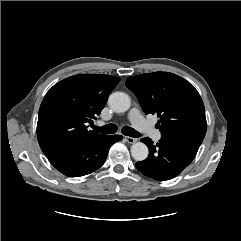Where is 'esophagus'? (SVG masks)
Wrapping results in <instances>:
<instances>
[{
	"label": "esophagus",
	"mask_w": 241,
	"mask_h": 241,
	"mask_svg": "<svg viewBox=\"0 0 241 241\" xmlns=\"http://www.w3.org/2000/svg\"><path fill=\"white\" fill-rule=\"evenodd\" d=\"M125 140L130 144H133L137 141V139L133 137H125Z\"/></svg>",
	"instance_id": "esophagus-1"
}]
</instances>
